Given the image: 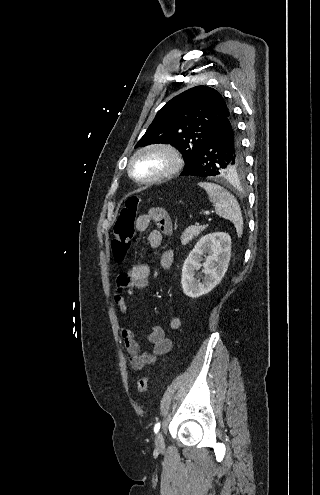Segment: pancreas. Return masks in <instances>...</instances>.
I'll return each mask as SVG.
<instances>
[{
  "label": "pancreas",
  "mask_w": 320,
  "mask_h": 495,
  "mask_svg": "<svg viewBox=\"0 0 320 495\" xmlns=\"http://www.w3.org/2000/svg\"><path fill=\"white\" fill-rule=\"evenodd\" d=\"M206 226H195L192 225L184 230L181 235V243L182 245L188 244L194 237H197L201 231L205 230Z\"/></svg>",
  "instance_id": "1"
}]
</instances>
